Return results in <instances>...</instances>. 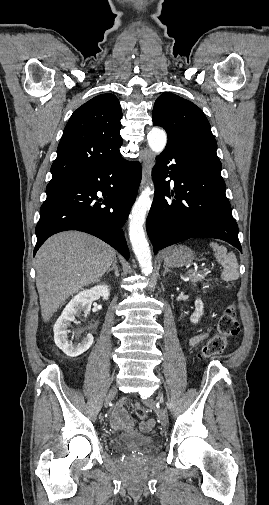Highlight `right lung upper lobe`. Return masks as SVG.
Masks as SVG:
<instances>
[{
	"label": "right lung upper lobe",
	"instance_id": "1",
	"mask_svg": "<svg viewBox=\"0 0 269 505\" xmlns=\"http://www.w3.org/2000/svg\"><path fill=\"white\" fill-rule=\"evenodd\" d=\"M121 118V106L113 94L98 95L80 106L63 131L51 166V181L72 177L120 156Z\"/></svg>",
	"mask_w": 269,
	"mask_h": 505
}]
</instances>
